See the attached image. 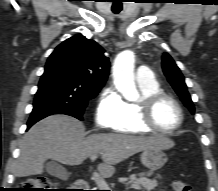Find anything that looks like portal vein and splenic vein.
<instances>
[{"label": "portal vein and splenic vein", "instance_id": "obj_1", "mask_svg": "<svg viewBox=\"0 0 218 191\" xmlns=\"http://www.w3.org/2000/svg\"><path fill=\"white\" fill-rule=\"evenodd\" d=\"M97 158V155H92L91 156V160H95ZM93 180L96 182L99 190H107L108 189V185L105 182L104 178L98 174L97 172H93Z\"/></svg>", "mask_w": 218, "mask_h": 191}]
</instances>
